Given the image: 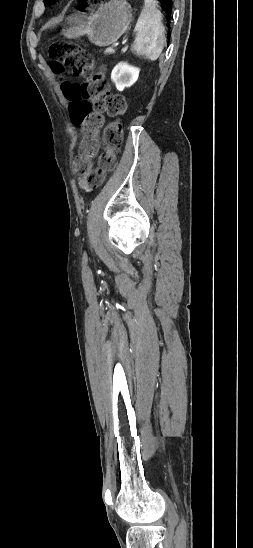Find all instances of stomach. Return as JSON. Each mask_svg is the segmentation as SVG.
Instances as JSON below:
<instances>
[{
  "instance_id": "0dacf381",
  "label": "stomach",
  "mask_w": 253,
  "mask_h": 548,
  "mask_svg": "<svg viewBox=\"0 0 253 548\" xmlns=\"http://www.w3.org/2000/svg\"><path fill=\"white\" fill-rule=\"evenodd\" d=\"M131 6L125 0H111L87 17L74 14L68 17L63 30L66 38L87 35L92 43L106 47L115 43L132 21Z\"/></svg>"
}]
</instances>
